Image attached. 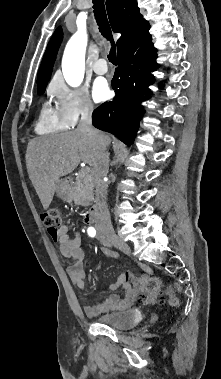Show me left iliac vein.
Returning <instances> with one entry per match:
<instances>
[{"label": "left iliac vein", "mask_w": 221, "mask_h": 379, "mask_svg": "<svg viewBox=\"0 0 221 379\" xmlns=\"http://www.w3.org/2000/svg\"><path fill=\"white\" fill-rule=\"evenodd\" d=\"M102 243L106 246H110V244H108L105 240H102Z\"/></svg>", "instance_id": "1"}]
</instances>
